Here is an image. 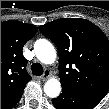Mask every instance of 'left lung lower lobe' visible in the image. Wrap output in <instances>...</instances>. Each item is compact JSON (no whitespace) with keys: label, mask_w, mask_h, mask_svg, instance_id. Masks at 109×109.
Wrapping results in <instances>:
<instances>
[{"label":"left lung lower lobe","mask_w":109,"mask_h":109,"mask_svg":"<svg viewBox=\"0 0 109 109\" xmlns=\"http://www.w3.org/2000/svg\"><path fill=\"white\" fill-rule=\"evenodd\" d=\"M100 101V99L64 86H62V93L52 99L56 109H92Z\"/></svg>","instance_id":"0a47b994"}]
</instances>
